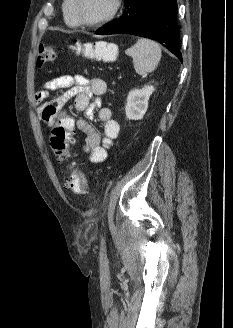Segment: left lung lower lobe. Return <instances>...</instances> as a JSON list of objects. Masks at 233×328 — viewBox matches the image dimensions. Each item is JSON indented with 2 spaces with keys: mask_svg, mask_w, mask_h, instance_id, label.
Here are the masks:
<instances>
[{
  "mask_svg": "<svg viewBox=\"0 0 233 328\" xmlns=\"http://www.w3.org/2000/svg\"><path fill=\"white\" fill-rule=\"evenodd\" d=\"M176 15V0H125L122 16L97 29L96 34L148 37L159 41L182 61Z\"/></svg>",
  "mask_w": 233,
  "mask_h": 328,
  "instance_id": "left-lung-lower-lobe-1",
  "label": "left lung lower lobe"
}]
</instances>
